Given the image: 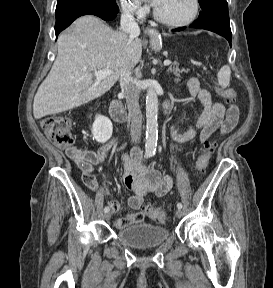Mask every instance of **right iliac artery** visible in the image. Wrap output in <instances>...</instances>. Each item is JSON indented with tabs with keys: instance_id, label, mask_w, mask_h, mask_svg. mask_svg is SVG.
<instances>
[{
	"instance_id": "obj_1",
	"label": "right iliac artery",
	"mask_w": 273,
	"mask_h": 288,
	"mask_svg": "<svg viewBox=\"0 0 273 288\" xmlns=\"http://www.w3.org/2000/svg\"><path fill=\"white\" fill-rule=\"evenodd\" d=\"M146 157L148 158V155H146ZM104 212H105V213H106V212H109V207L106 206V207L104 208Z\"/></svg>"
}]
</instances>
